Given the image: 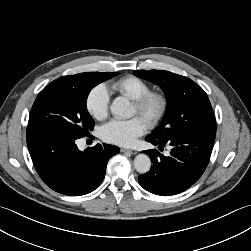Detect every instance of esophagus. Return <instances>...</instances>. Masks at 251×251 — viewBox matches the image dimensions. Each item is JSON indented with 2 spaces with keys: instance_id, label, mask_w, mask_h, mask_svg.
<instances>
[{
  "instance_id": "esophagus-1",
  "label": "esophagus",
  "mask_w": 251,
  "mask_h": 251,
  "mask_svg": "<svg viewBox=\"0 0 251 251\" xmlns=\"http://www.w3.org/2000/svg\"><path fill=\"white\" fill-rule=\"evenodd\" d=\"M121 152H123V153H130V154H132V155L137 154V151H136V150L125 149V148H122V149H121Z\"/></svg>"
}]
</instances>
